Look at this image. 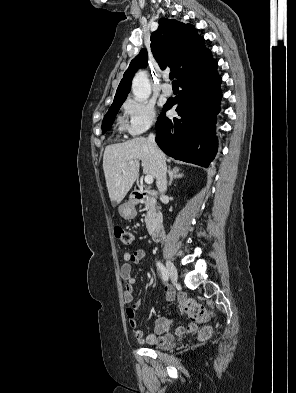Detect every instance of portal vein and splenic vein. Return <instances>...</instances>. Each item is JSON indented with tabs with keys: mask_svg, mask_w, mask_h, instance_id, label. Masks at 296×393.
Segmentation results:
<instances>
[{
	"mask_svg": "<svg viewBox=\"0 0 296 393\" xmlns=\"http://www.w3.org/2000/svg\"><path fill=\"white\" fill-rule=\"evenodd\" d=\"M130 164H133V162H130ZM145 183H146V184H152V183H153V176H151V175H146V176H145Z\"/></svg>",
	"mask_w": 296,
	"mask_h": 393,
	"instance_id": "portal-vein-and-splenic-vein-1",
	"label": "portal vein and splenic vein"
}]
</instances>
